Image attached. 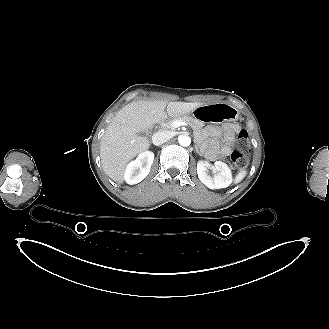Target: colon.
Here are the masks:
<instances>
[{"label":"colon","mask_w":329,"mask_h":329,"mask_svg":"<svg viewBox=\"0 0 329 329\" xmlns=\"http://www.w3.org/2000/svg\"><path fill=\"white\" fill-rule=\"evenodd\" d=\"M231 159L237 168H244L249 159V138L246 129L238 134V148L232 153Z\"/></svg>","instance_id":"colon-1"}]
</instances>
